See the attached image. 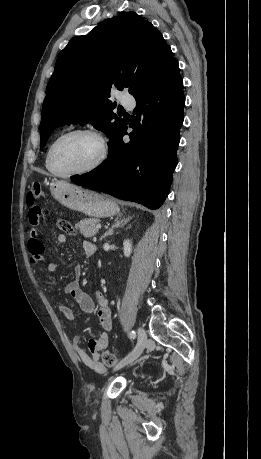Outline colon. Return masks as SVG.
Returning a JSON list of instances; mask_svg holds the SVG:
<instances>
[{
	"mask_svg": "<svg viewBox=\"0 0 261 459\" xmlns=\"http://www.w3.org/2000/svg\"><path fill=\"white\" fill-rule=\"evenodd\" d=\"M44 198V193L40 183L34 182L31 184L27 194V204L30 207L29 220H28V231L30 234H39L41 231L40 221L45 217V210L37 205V201ZM57 227L66 233H74L72 225L66 220H59ZM102 362L105 366L110 367L116 364V356L109 350L102 352Z\"/></svg>",
	"mask_w": 261,
	"mask_h": 459,
	"instance_id": "5ec220e1",
	"label": "colon"
}]
</instances>
